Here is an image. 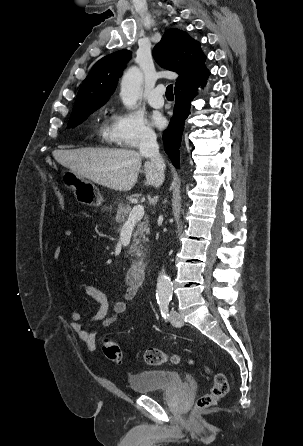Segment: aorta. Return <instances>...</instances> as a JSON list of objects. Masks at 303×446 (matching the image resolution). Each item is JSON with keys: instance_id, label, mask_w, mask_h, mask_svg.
Returning a JSON list of instances; mask_svg holds the SVG:
<instances>
[{"instance_id": "aorta-1", "label": "aorta", "mask_w": 303, "mask_h": 446, "mask_svg": "<svg viewBox=\"0 0 303 446\" xmlns=\"http://www.w3.org/2000/svg\"><path fill=\"white\" fill-rule=\"evenodd\" d=\"M143 75L139 68L131 67L123 75L120 97L126 107L136 105L142 95ZM173 285L164 269L159 273L156 286V297L159 301H169L172 296Z\"/></svg>"}]
</instances>
